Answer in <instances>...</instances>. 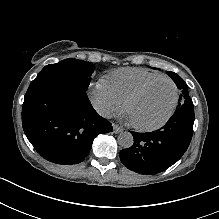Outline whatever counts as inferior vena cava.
<instances>
[{"mask_svg":"<svg viewBox=\"0 0 219 219\" xmlns=\"http://www.w3.org/2000/svg\"><path fill=\"white\" fill-rule=\"evenodd\" d=\"M106 112H107V109H103V116H105V117H109V115H106Z\"/></svg>","mask_w":219,"mask_h":219,"instance_id":"inferior-vena-cava-1","label":"inferior vena cava"}]
</instances>
